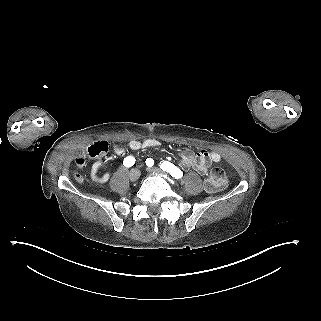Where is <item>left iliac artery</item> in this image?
<instances>
[{"instance_id": "obj_1", "label": "left iliac artery", "mask_w": 321, "mask_h": 321, "mask_svg": "<svg viewBox=\"0 0 321 321\" xmlns=\"http://www.w3.org/2000/svg\"><path fill=\"white\" fill-rule=\"evenodd\" d=\"M146 165L151 167L154 165V160L151 158L146 159ZM163 171L170 173V175L176 179H180L183 176L182 171L177 168L175 165L165 161L159 165Z\"/></svg>"}]
</instances>
